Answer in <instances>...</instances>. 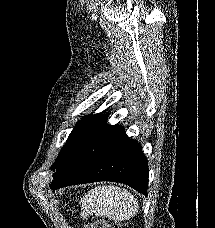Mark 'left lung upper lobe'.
<instances>
[{
	"label": "left lung upper lobe",
	"instance_id": "obj_1",
	"mask_svg": "<svg viewBox=\"0 0 215 228\" xmlns=\"http://www.w3.org/2000/svg\"><path fill=\"white\" fill-rule=\"evenodd\" d=\"M108 115H89L83 118L82 121L77 123L76 127L73 129L68 137L67 142L61 149L58 158L51 170L55 169V176L60 169L64 166L66 161L71 157L75 150L84 142V140L94 132L102 123L107 119Z\"/></svg>",
	"mask_w": 215,
	"mask_h": 228
}]
</instances>
